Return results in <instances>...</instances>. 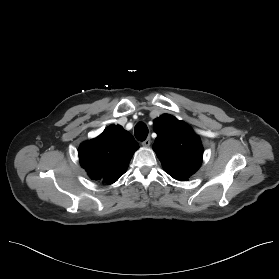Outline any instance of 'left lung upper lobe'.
I'll use <instances>...</instances> for the list:
<instances>
[{
  "instance_id": "5c2ea615",
  "label": "left lung upper lobe",
  "mask_w": 279,
  "mask_h": 279,
  "mask_svg": "<svg viewBox=\"0 0 279 279\" xmlns=\"http://www.w3.org/2000/svg\"><path fill=\"white\" fill-rule=\"evenodd\" d=\"M154 131L157 138L153 149L164 170L174 179L187 180L202 163L199 136L186 123L168 114L154 120Z\"/></svg>"
}]
</instances>
